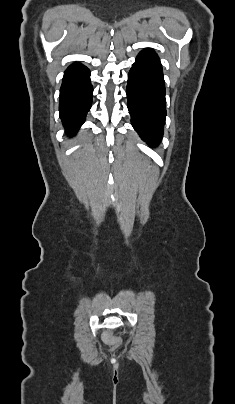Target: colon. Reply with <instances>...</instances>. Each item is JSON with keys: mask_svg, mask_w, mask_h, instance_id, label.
Here are the masks:
<instances>
[{"mask_svg": "<svg viewBox=\"0 0 235 404\" xmlns=\"http://www.w3.org/2000/svg\"><path fill=\"white\" fill-rule=\"evenodd\" d=\"M104 340H105L107 343H114V342H115L114 339H113V337H112L110 334H105V335H104Z\"/></svg>", "mask_w": 235, "mask_h": 404, "instance_id": "obj_1", "label": "colon"}]
</instances>
